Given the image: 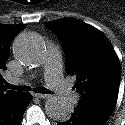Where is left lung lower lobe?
Masks as SVG:
<instances>
[{
	"label": "left lung lower lobe",
	"instance_id": "left-lung-lower-lobe-1",
	"mask_svg": "<svg viewBox=\"0 0 125 125\" xmlns=\"http://www.w3.org/2000/svg\"><path fill=\"white\" fill-rule=\"evenodd\" d=\"M109 117L110 115L106 113L76 107L69 120L59 122L57 125H104Z\"/></svg>",
	"mask_w": 125,
	"mask_h": 125
}]
</instances>
